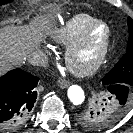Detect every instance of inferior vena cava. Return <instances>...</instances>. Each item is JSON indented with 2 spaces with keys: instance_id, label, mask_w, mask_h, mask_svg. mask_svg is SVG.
Returning a JSON list of instances; mask_svg holds the SVG:
<instances>
[{
  "instance_id": "obj_1",
  "label": "inferior vena cava",
  "mask_w": 133,
  "mask_h": 133,
  "mask_svg": "<svg viewBox=\"0 0 133 133\" xmlns=\"http://www.w3.org/2000/svg\"><path fill=\"white\" fill-rule=\"evenodd\" d=\"M28 60L32 65H35V66L46 67L48 64V58L46 54L42 51H33L29 55Z\"/></svg>"
}]
</instances>
